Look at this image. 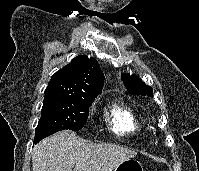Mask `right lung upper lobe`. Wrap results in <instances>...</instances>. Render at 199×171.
<instances>
[{"label": "right lung upper lobe", "instance_id": "obj_1", "mask_svg": "<svg viewBox=\"0 0 199 171\" xmlns=\"http://www.w3.org/2000/svg\"><path fill=\"white\" fill-rule=\"evenodd\" d=\"M103 83L104 76L98 62L83 55L53 74L45 93L72 99H95Z\"/></svg>", "mask_w": 199, "mask_h": 171}]
</instances>
